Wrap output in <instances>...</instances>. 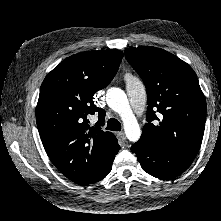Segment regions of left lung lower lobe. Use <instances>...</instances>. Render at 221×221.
I'll list each match as a JSON object with an SVG mask.
<instances>
[{"label":"left lung lower lobe","instance_id":"0a47b994","mask_svg":"<svg viewBox=\"0 0 221 221\" xmlns=\"http://www.w3.org/2000/svg\"><path fill=\"white\" fill-rule=\"evenodd\" d=\"M131 150L136 154L142 169L160 179H170L180 175L193 162V159L162 146H140L135 143Z\"/></svg>","mask_w":221,"mask_h":221}]
</instances>
